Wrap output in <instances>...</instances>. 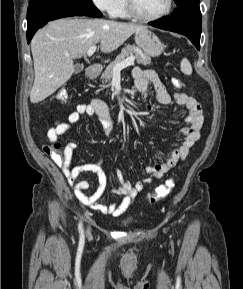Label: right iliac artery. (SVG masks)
Here are the masks:
<instances>
[{
    "mask_svg": "<svg viewBox=\"0 0 243 289\" xmlns=\"http://www.w3.org/2000/svg\"><path fill=\"white\" fill-rule=\"evenodd\" d=\"M78 228H79L80 236L83 237V227H82V223L81 222L79 223V227Z\"/></svg>",
    "mask_w": 243,
    "mask_h": 289,
    "instance_id": "82829eb1",
    "label": "right iliac artery"
}]
</instances>
